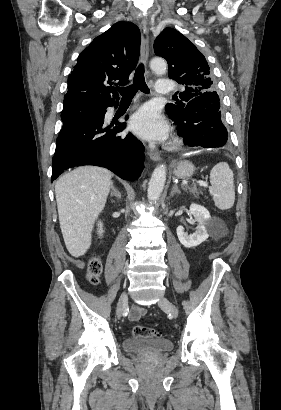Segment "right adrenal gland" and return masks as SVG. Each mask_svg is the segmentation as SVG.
Wrapping results in <instances>:
<instances>
[{
	"label": "right adrenal gland",
	"instance_id": "right-adrenal-gland-1",
	"mask_svg": "<svg viewBox=\"0 0 281 410\" xmlns=\"http://www.w3.org/2000/svg\"><path fill=\"white\" fill-rule=\"evenodd\" d=\"M110 196H111V197L115 196V197H117L118 199H121V194H120V192L115 188V186H114L113 183H112V185H111V194H110Z\"/></svg>",
	"mask_w": 281,
	"mask_h": 410
}]
</instances>
